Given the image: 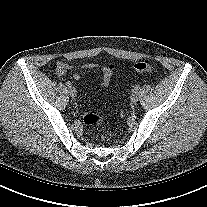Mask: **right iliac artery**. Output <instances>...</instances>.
Returning a JSON list of instances; mask_svg holds the SVG:
<instances>
[{
    "mask_svg": "<svg viewBox=\"0 0 207 207\" xmlns=\"http://www.w3.org/2000/svg\"><path fill=\"white\" fill-rule=\"evenodd\" d=\"M66 85H67V87H69V88L72 87V84H71V82H69V81L66 82Z\"/></svg>",
    "mask_w": 207,
    "mask_h": 207,
    "instance_id": "obj_1",
    "label": "right iliac artery"
}]
</instances>
